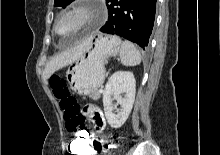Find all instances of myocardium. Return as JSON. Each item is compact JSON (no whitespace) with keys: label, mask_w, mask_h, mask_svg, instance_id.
<instances>
[{"label":"myocardium","mask_w":220,"mask_h":155,"mask_svg":"<svg viewBox=\"0 0 220 155\" xmlns=\"http://www.w3.org/2000/svg\"><path fill=\"white\" fill-rule=\"evenodd\" d=\"M101 15V7L97 0H79L73 3L70 7L62 10L54 20L53 32L62 36L57 31L58 22L65 17L76 16L80 19L78 27L70 34L73 35L82 32L89 26L93 25Z\"/></svg>","instance_id":"obj_1"}]
</instances>
